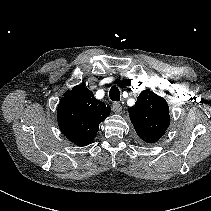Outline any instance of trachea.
<instances>
[{
  "instance_id": "trachea-1",
  "label": "trachea",
  "mask_w": 211,
  "mask_h": 211,
  "mask_svg": "<svg viewBox=\"0 0 211 211\" xmlns=\"http://www.w3.org/2000/svg\"><path fill=\"white\" fill-rule=\"evenodd\" d=\"M109 97L112 101H119L120 100V91L118 87L112 86L109 91Z\"/></svg>"
}]
</instances>
